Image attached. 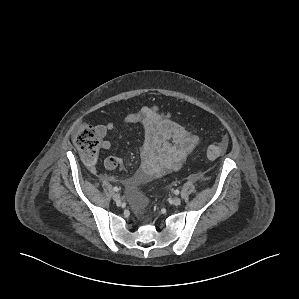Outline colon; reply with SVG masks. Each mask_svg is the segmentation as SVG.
I'll list each match as a JSON object with an SVG mask.
<instances>
[{"label": "colon", "instance_id": "obj_1", "mask_svg": "<svg viewBox=\"0 0 299 299\" xmlns=\"http://www.w3.org/2000/svg\"><path fill=\"white\" fill-rule=\"evenodd\" d=\"M165 119L173 120L168 112H159ZM74 143L78 148L83 161L87 166L93 168L97 162L101 137L96 129L88 123H79L74 131ZM227 150V142L221 140L211 144L206 152L209 159L222 156Z\"/></svg>", "mask_w": 299, "mask_h": 299}]
</instances>
